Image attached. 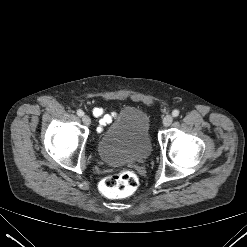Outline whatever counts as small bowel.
Listing matches in <instances>:
<instances>
[{
  "label": "small bowel",
  "instance_id": "obj_1",
  "mask_svg": "<svg viewBox=\"0 0 247 247\" xmlns=\"http://www.w3.org/2000/svg\"><path fill=\"white\" fill-rule=\"evenodd\" d=\"M93 115L100 119V127L98 128V131L101 132L103 130V127L109 123L112 122L113 119L116 117V113H107L103 108L101 107H95L92 110Z\"/></svg>",
  "mask_w": 247,
  "mask_h": 247
}]
</instances>
